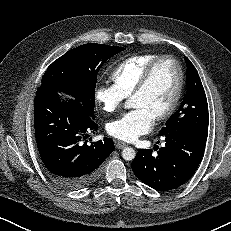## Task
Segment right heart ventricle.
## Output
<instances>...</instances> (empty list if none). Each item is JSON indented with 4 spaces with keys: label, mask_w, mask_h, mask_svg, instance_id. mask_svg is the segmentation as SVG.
I'll return each instance as SVG.
<instances>
[{
    "label": "right heart ventricle",
    "mask_w": 231,
    "mask_h": 231,
    "mask_svg": "<svg viewBox=\"0 0 231 231\" xmlns=\"http://www.w3.org/2000/svg\"><path fill=\"white\" fill-rule=\"evenodd\" d=\"M158 56L155 53L132 56L115 68L111 77L125 98L131 96L146 67Z\"/></svg>",
    "instance_id": "e07e8e85"
}]
</instances>
